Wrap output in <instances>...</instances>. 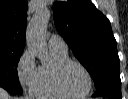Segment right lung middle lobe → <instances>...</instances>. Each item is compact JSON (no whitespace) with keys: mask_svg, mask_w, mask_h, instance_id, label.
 <instances>
[{"mask_svg":"<svg viewBox=\"0 0 128 99\" xmlns=\"http://www.w3.org/2000/svg\"><path fill=\"white\" fill-rule=\"evenodd\" d=\"M23 50L0 49V86L22 93L17 65Z\"/></svg>","mask_w":128,"mask_h":99,"instance_id":"obj_1","label":"right lung middle lobe"}]
</instances>
